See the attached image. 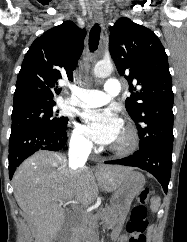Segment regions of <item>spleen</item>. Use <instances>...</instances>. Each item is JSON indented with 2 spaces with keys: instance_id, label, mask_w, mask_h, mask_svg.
<instances>
[{
  "instance_id": "3e777b00",
  "label": "spleen",
  "mask_w": 187,
  "mask_h": 242,
  "mask_svg": "<svg viewBox=\"0 0 187 242\" xmlns=\"http://www.w3.org/2000/svg\"><path fill=\"white\" fill-rule=\"evenodd\" d=\"M159 206H160V197L156 196L152 198L151 205H150L151 211L157 212L159 209Z\"/></svg>"
}]
</instances>
